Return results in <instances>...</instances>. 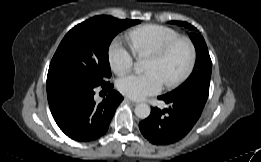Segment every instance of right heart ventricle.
<instances>
[{
	"label": "right heart ventricle",
	"mask_w": 261,
	"mask_h": 162,
	"mask_svg": "<svg viewBox=\"0 0 261 162\" xmlns=\"http://www.w3.org/2000/svg\"><path fill=\"white\" fill-rule=\"evenodd\" d=\"M178 37L180 34L175 29L157 24L139 26L127 32V39L136 56L149 54Z\"/></svg>",
	"instance_id": "obj_1"
}]
</instances>
